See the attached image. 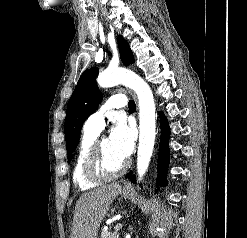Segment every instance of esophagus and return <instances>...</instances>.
<instances>
[{
	"mask_svg": "<svg viewBox=\"0 0 247 238\" xmlns=\"http://www.w3.org/2000/svg\"><path fill=\"white\" fill-rule=\"evenodd\" d=\"M129 92L132 95V97L135 99V101L137 102L136 94L132 90H129ZM124 188L125 189H130L131 188V184L129 182H126L125 185H124Z\"/></svg>",
	"mask_w": 247,
	"mask_h": 238,
	"instance_id": "obj_1",
	"label": "esophagus"
}]
</instances>
